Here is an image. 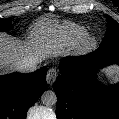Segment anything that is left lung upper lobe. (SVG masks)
Listing matches in <instances>:
<instances>
[{"label": "left lung upper lobe", "mask_w": 119, "mask_h": 119, "mask_svg": "<svg viewBox=\"0 0 119 119\" xmlns=\"http://www.w3.org/2000/svg\"><path fill=\"white\" fill-rule=\"evenodd\" d=\"M107 18V31L99 49L107 52L119 51V24L109 15Z\"/></svg>", "instance_id": "5c2ea615"}]
</instances>
